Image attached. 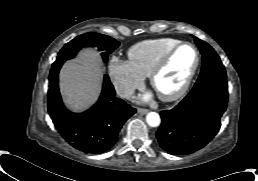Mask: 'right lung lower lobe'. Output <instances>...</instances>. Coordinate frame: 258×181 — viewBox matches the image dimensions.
Wrapping results in <instances>:
<instances>
[{"label":"right lung lower lobe","instance_id":"98d812e1","mask_svg":"<svg viewBox=\"0 0 258 181\" xmlns=\"http://www.w3.org/2000/svg\"><path fill=\"white\" fill-rule=\"evenodd\" d=\"M63 61H55L49 75L48 111L61 136L75 149L101 154L110 150L117 135L136 109L115 96L108 75L104 76L99 101L84 113L76 114L63 105L58 89V73Z\"/></svg>","mask_w":258,"mask_h":181}]
</instances>
